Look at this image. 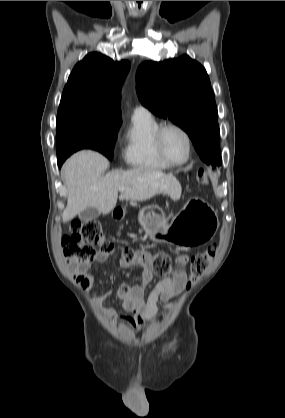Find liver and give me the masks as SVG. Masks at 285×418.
<instances>
[{
    "instance_id": "liver-1",
    "label": "liver",
    "mask_w": 285,
    "mask_h": 418,
    "mask_svg": "<svg viewBox=\"0 0 285 418\" xmlns=\"http://www.w3.org/2000/svg\"><path fill=\"white\" fill-rule=\"evenodd\" d=\"M108 167L107 158L90 150L77 152L65 162L63 176L68 198L62 214L63 222L72 220L88 207H95L106 215L115 208L118 198L145 201L156 194L165 193L171 199L178 200L181 196V185L172 174L135 168L103 175ZM120 187L125 190L118 197Z\"/></svg>"
}]
</instances>
